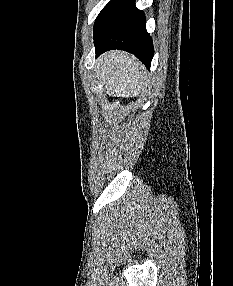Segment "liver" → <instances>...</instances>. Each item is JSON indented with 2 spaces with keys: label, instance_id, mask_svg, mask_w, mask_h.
<instances>
[{
  "label": "liver",
  "instance_id": "1",
  "mask_svg": "<svg viewBox=\"0 0 233 286\" xmlns=\"http://www.w3.org/2000/svg\"><path fill=\"white\" fill-rule=\"evenodd\" d=\"M94 71L105 85L106 93L114 97L137 96L146 79L144 66L133 55L120 51L101 55Z\"/></svg>",
  "mask_w": 233,
  "mask_h": 286
}]
</instances>
